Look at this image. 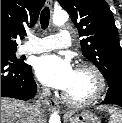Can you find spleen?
Listing matches in <instances>:
<instances>
[{
    "mask_svg": "<svg viewBox=\"0 0 122 123\" xmlns=\"http://www.w3.org/2000/svg\"><path fill=\"white\" fill-rule=\"evenodd\" d=\"M101 110L110 114L109 123H122V111L113 106H102Z\"/></svg>",
    "mask_w": 122,
    "mask_h": 123,
    "instance_id": "3e777b00",
    "label": "spleen"
}]
</instances>
